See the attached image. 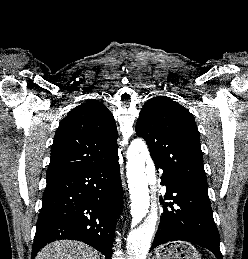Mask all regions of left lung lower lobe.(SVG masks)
Wrapping results in <instances>:
<instances>
[{
    "instance_id": "0a47b994",
    "label": "left lung lower lobe",
    "mask_w": 248,
    "mask_h": 259,
    "mask_svg": "<svg viewBox=\"0 0 248 259\" xmlns=\"http://www.w3.org/2000/svg\"><path fill=\"white\" fill-rule=\"evenodd\" d=\"M162 184L166 185L165 200L171 201L162 203L163 213L151 250L163 243L181 240L198 244L223 259L208 193L188 188L165 170Z\"/></svg>"
}]
</instances>
